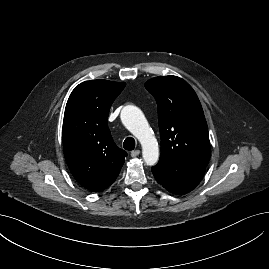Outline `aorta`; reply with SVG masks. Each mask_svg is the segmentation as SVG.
Returning a JSON list of instances; mask_svg holds the SVG:
<instances>
[{"mask_svg": "<svg viewBox=\"0 0 269 269\" xmlns=\"http://www.w3.org/2000/svg\"><path fill=\"white\" fill-rule=\"evenodd\" d=\"M124 126L139 140L145 163L153 166L159 159L158 142L153 135L143 112L136 106L128 105L121 112Z\"/></svg>", "mask_w": 269, "mask_h": 269, "instance_id": "1", "label": "aorta"}]
</instances>
